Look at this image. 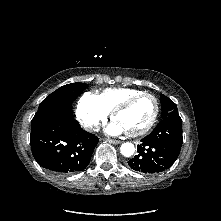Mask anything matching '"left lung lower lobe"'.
Segmentation results:
<instances>
[{"instance_id": "left-lung-lower-lobe-1", "label": "left lung lower lobe", "mask_w": 221, "mask_h": 221, "mask_svg": "<svg viewBox=\"0 0 221 221\" xmlns=\"http://www.w3.org/2000/svg\"><path fill=\"white\" fill-rule=\"evenodd\" d=\"M141 142L137 146L138 154L128 161L132 169L144 173H158L171 167L183 142L180 116L162 119Z\"/></svg>"}]
</instances>
